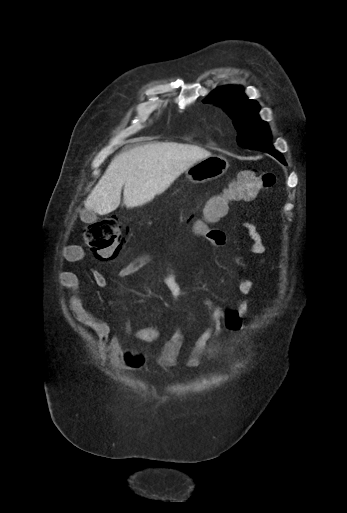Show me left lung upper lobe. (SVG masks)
Masks as SVG:
<instances>
[{"label": "left lung upper lobe", "instance_id": "1", "mask_svg": "<svg viewBox=\"0 0 347 513\" xmlns=\"http://www.w3.org/2000/svg\"><path fill=\"white\" fill-rule=\"evenodd\" d=\"M222 107L233 119L238 132V143L248 149L271 153L276 151L271 144L270 129L258 115L259 105L249 100L239 86H226L214 90L204 100Z\"/></svg>", "mask_w": 347, "mask_h": 513}]
</instances>
